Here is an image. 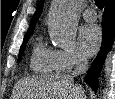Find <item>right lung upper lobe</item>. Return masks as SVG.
<instances>
[{
    "label": "right lung upper lobe",
    "mask_w": 115,
    "mask_h": 99,
    "mask_svg": "<svg viewBox=\"0 0 115 99\" xmlns=\"http://www.w3.org/2000/svg\"><path fill=\"white\" fill-rule=\"evenodd\" d=\"M111 1L112 0H106V3H109ZM43 2H44V0H40V3L38 5V7H37V10H36V12L34 13V15L32 17V20L30 22V26H29V29H28L26 35L29 34V33H32V31L34 29V26L36 24V21L38 20V18L40 17V14L42 12Z\"/></svg>",
    "instance_id": "1"
}]
</instances>
